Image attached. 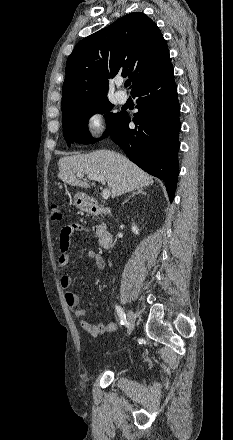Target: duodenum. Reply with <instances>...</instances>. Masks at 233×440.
<instances>
[{"label": "duodenum", "instance_id": "duodenum-1", "mask_svg": "<svg viewBox=\"0 0 233 440\" xmlns=\"http://www.w3.org/2000/svg\"><path fill=\"white\" fill-rule=\"evenodd\" d=\"M90 213L95 216H100V215L109 214L110 210L102 205H94L90 209ZM98 241H99V245L102 248H109L112 244V235L109 232L101 229L98 234Z\"/></svg>", "mask_w": 233, "mask_h": 440}]
</instances>
